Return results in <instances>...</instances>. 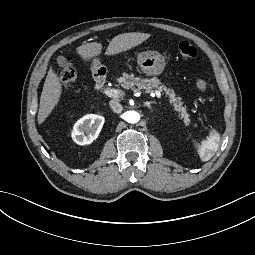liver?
<instances>
[{
    "label": "liver",
    "mask_w": 255,
    "mask_h": 255,
    "mask_svg": "<svg viewBox=\"0 0 255 255\" xmlns=\"http://www.w3.org/2000/svg\"><path fill=\"white\" fill-rule=\"evenodd\" d=\"M150 37L148 33H124L115 36L109 43L106 55H115L122 51H127ZM77 53L84 59L89 60L95 56L100 55L102 51V44L97 42L83 44L76 48ZM62 87L58 76L49 70L44 82L43 90L40 97V107L38 112V124H42L49 114L57 105Z\"/></svg>",
    "instance_id": "1"
}]
</instances>
